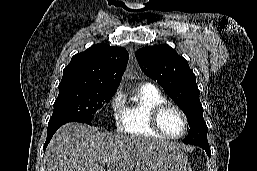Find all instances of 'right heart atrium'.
<instances>
[{
  "label": "right heart atrium",
  "instance_id": "right-heart-atrium-1",
  "mask_svg": "<svg viewBox=\"0 0 257 171\" xmlns=\"http://www.w3.org/2000/svg\"><path fill=\"white\" fill-rule=\"evenodd\" d=\"M110 111L114 122L119 126L124 113V101L120 93H115L110 99Z\"/></svg>",
  "mask_w": 257,
  "mask_h": 171
}]
</instances>
